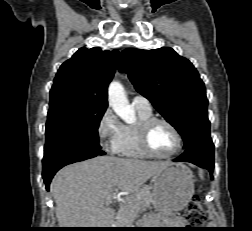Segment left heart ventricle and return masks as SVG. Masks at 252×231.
<instances>
[{"instance_id":"obj_1","label":"left heart ventricle","mask_w":252,"mask_h":231,"mask_svg":"<svg viewBox=\"0 0 252 231\" xmlns=\"http://www.w3.org/2000/svg\"><path fill=\"white\" fill-rule=\"evenodd\" d=\"M151 148L158 154L167 155L176 147V138L165 124H155L149 134Z\"/></svg>"}]
</instances>
